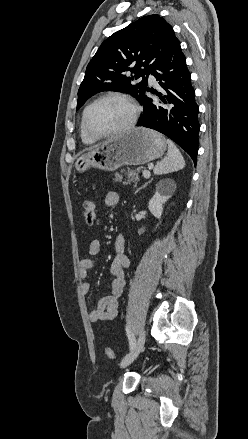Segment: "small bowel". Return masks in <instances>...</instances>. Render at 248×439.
I'll return each mask as SVG.
<instances>
[{
    "instance_id": "small-bowel-1",
    "label": "small bowel",
    "mask_w": 248,
    "mask_h": 439,
    "mask_svg": "<svg viewBox=\"0 0 248 439\" xmlns=\"http://www.w3.org/2000/svg\"><path fill=\"white\" fill-rule=\"evenodd\" d=\"M119 202V194L115 191L107 192L105 203L114 207ZM100 225V219L97 220V226ZM115 257L110 266V272L113 276L111 282V292L99 299L96 307L90 312L89 318L92 322H108L118 315L119 299L126 285L125 270L130 266V259L125 254V239L119 234L115 239ZM101 243L98 239H93L88 244V256L81 259L79 264V278L81 279V291L88 294L91 286L87 281L88 273L94 265V257L99 253Z\"/></svg>"
}]
</instances>
